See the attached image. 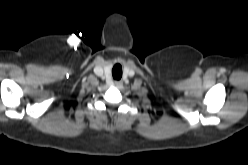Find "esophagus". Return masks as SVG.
<instances>
[{"label":"esophagus","instance_id":"obj_1","mask_svg":"<svg viewBox=\"0 0 248 165\" xmlns=\"http://www.w3.org/2000/svg\"><path fill=\"white\" fill-rule=\"evenodd\" d=\"M122 85H123L122 81H115L114 82V86L117 87V88L122 87Z\"/></svg>","mask_w":248,"mask_h":165}]
</instances>
